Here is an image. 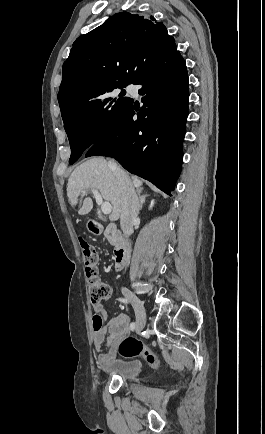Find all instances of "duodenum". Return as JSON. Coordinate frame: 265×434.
Instances as JSON below:
<instances>
[{
    "label": "duodenum",
    "instance_id": "obj_1",
    "mask_svg": "<svg viewBox=\"0 0 265 434\" xmlns=\"http://www.w3.org/2000/svg\"><path fill=\"white\" fill-rule=\"evenodd\" d=\"M96 223H97L96 220L89 219L88 220L89 230L96 229L97 231H102L106 236V238L108 239L109 243L113 245H117V242L119 240V234H120L118 227L116 225L111 224L105 226L104 228H100V227H96ZM131 252H132V244L129 242H125L115 249L114 251L115 270H120L124 266L126 260L131 255Z\"/></svg>",
    "mask_w": 265,
    "mask_h": 434
}]
</instances>
